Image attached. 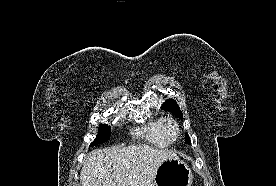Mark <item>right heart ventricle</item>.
<instances>
[{"mask_svg":"<svg viewBox=\"0 0 276 186\" xmlns=\"http://www.w3.org/2000/svg\"><path fill=\"white\" fill-rule=\"evenodd\" d=\"M136 134L158 147H166L170 143L162 134V119L149 121L146 125L137 129Z\"/></svg>","mask_w":276,"mask_h":186,"instance_id":"e07e8e85","label":"right heart ventricle"}]
</instances>
